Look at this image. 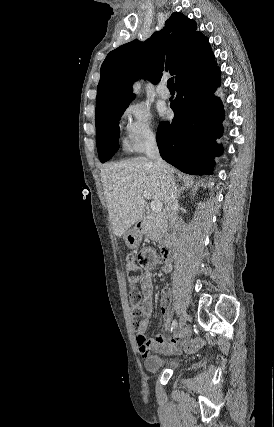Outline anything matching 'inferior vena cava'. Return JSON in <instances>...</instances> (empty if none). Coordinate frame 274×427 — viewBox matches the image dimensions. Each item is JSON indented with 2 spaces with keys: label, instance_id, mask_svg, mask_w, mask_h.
<instances>
[{
  "label": "inferior vena cava",
  "instance_id": "1",
  "mask_svg": "<svg viewBox=\"0 0 274 427\" xmlns=\"http://www.w3.org/2000/svg\"><path fill=\"white\" fill-rule=\"evenodd\" d=\"M145 154L147 158L153 160L159 172H169L170 168L169 166H167L166 162H163L159 154L155 138H148L145 148ZM165 206L167 210V215L169 217V225L170 227H174L177 219V214L179 212L178 194L175 186L174 188H170V190H167L165 196Z\"/></svg>",
  "mask_w": 274,
  "mask_h": 427
}]
</instances>
